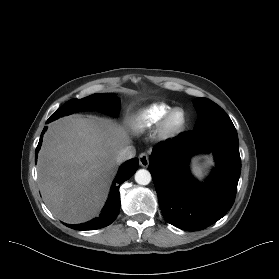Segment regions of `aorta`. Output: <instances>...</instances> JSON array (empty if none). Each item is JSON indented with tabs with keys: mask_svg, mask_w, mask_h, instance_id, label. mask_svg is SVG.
Wrapping results in <instances>:
<instances>
[{
	"mask_svg": "<svg viewBox=\"0 0 279 279\" xmlns=\"http://www.w3.org/2000/svg\"><path fill=\"white\" fill-rule=\"evenodd\" d=\"M135 181L139 185H148L151 182V174L146 169H140L135 173Z\"/></svg>",
	"mask_w": 279,
	"mask_h": 279,
	"instance_id": "762f6f07",
	"label": "aorta"
}]
</instances>
